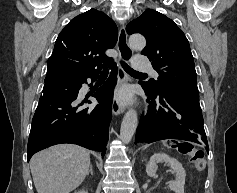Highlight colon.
Segmentation results:
<instances>
[{"instance_id": "obj_1", "label": "colon", "mask_w": 237, "mask_h": 193, "mask_svg": "<svg viewBox=\"0 0 237 193\" xmlns=\"http://www.w3.org/2000/svg\"><path fill=\"white\" fill-rule=\"evenodd\" d=\"M180 152L188 155L199 171H203L206 167L205 154L202 150L195 148L189 143H180L175 146Z\"/></svg>"}]
</instances>
